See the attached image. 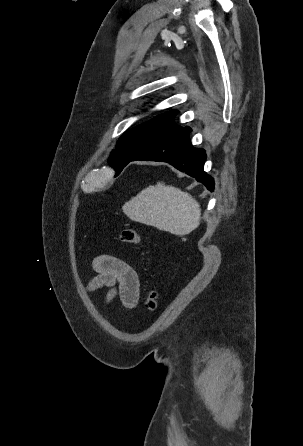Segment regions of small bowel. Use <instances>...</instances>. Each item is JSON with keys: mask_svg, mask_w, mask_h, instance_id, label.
<instances>
[{"mask_svg": "<svg viewBox=\"0 0 303 446\" xmlns=\"http://www.w3.org/2000/svg\"><path fill=\"white\" fill-rule=\"evenodd\" d=\"M93 269L96 276L90 283L91 289L108 288V299L118 295L126 308H133L137 304L140 282L131 265L116 256L103 254L94 259Z\"/></svg>", "mask_w": 303, "mask_h": 446, "instance_id": "1", "label": "small bowel"}]
</instances>
